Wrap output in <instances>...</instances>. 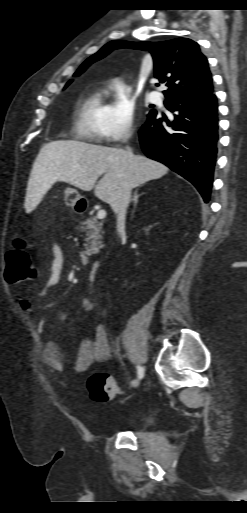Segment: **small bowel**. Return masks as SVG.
Returning a JSON list of instances; mask_svg holds the SVG:
<instances>
[{
	"label": "small bowel",
	"instance_id": "c3829d8e",
	"mask_svg": "<svg viewBox=\"0 0 247 513\" xmlns=\"http://www.w3.org/2000/svg\"><path fill=\"white\" fill-rule=\"evenodd\" d=\"M64 267V252L59 244L52 246V261L48 277L45 281L43 290L44 295L50 290L58 286L62 282ZM24 310L30 311L31 304L29 301L20 302ZM94 308V301L85 297L81 301V310L83 312L90 311ZM48 322L40 319L37 322V331L40 336L47 333ZM111 358V348L109 344L106 328L99 324L93 334H87L83 337L79 348L68 364V368L76 373L86 372L96 362H106ZM41 361L54 371H64L67 367L65 357L60 348L50 340L43 342L40 350Z\"/></svg>",
	"mask_w": 247,
	"mask_h": 513
}]
</instances>
